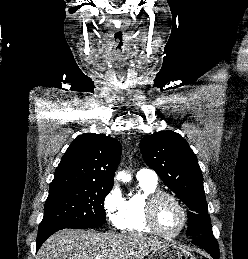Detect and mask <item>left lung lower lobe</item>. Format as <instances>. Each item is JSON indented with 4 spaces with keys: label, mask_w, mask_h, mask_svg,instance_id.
<instances>
[{
    "label": "left lung lower lobe",
    "mask_w": 248,
    "mask_h": 259,
    "mask_svg": "<svg viewBox=\"0 0 248 259\" xmlns=\"http://www.w3.org/2000/svg\"><path fill=\"white\" fill-rule=\"evenodd\" d=\"M193 243L205 249L213 259H219V246L213 236H203L194 240Z\"/></svg>",
    "instance_id": "left-lung-lower-lobe-1"
}]
</instances>
